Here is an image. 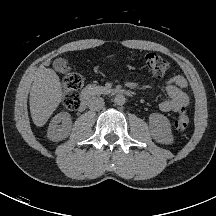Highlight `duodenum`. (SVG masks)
<instances>
[{"mask_svg":"<svg viewBox=\"0 0 216 216\" xmlns=\"http://www.w3.org/2000/svg\"><path fill=\"white\" fill-rule=\"evenodd\" d=\"M109 94L111 95H116V96H130L131 92L127 89H123V88H111L109 89ZM91 99V95L88 92H84L82 99H81V103H80V110H84Z\"/></svg>","mask_w":216,"mask_h":216,"instance_id":"1","label":"duodenum"}]
</instances>
